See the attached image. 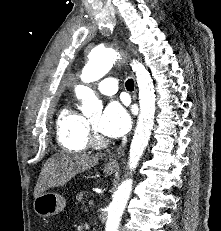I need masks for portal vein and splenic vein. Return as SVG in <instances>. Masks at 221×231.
<instances>
[{
  "label": "portal vein and splenic vein",
  "mask_w": 221,
  "mask_h": 231,
  "mask_svg": "<svg viewBox=\"0 0 221 231\" xmlns=\"http://www.w3.org/2000/svg\"><path fill=\"white\" fill-rule=\"evenodd\" d=\"M88 203L90 206L93 205V200L90 199Z\"/></svg>",
  "instance_id": "18ae733b"
}]
</instances>
